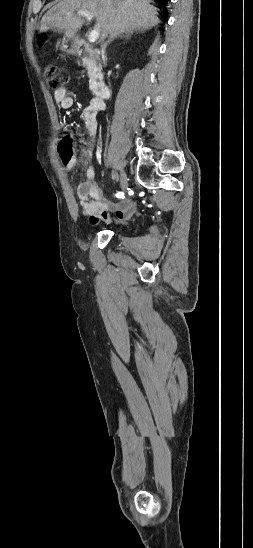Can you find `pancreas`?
<instances>
[{
  "instance_id": "obj_1",
  "label": "pancreas",
  "mask_w": 253,
  "mask_h": 548,
  "mask_svg": "<svg viewBox=\"0 0 253 548\" xmlns=\"http://www.w3.org/2000/svg\"><path fill=\"white\" fill-rule=\"evenodd\" d=\"M83 65L86 66L89 76V87L91 90H96L99 86V81L102 80V67L98 61L94 58H89L83 61Z\"/></svg>"
}]
</instances>
